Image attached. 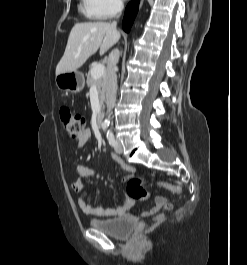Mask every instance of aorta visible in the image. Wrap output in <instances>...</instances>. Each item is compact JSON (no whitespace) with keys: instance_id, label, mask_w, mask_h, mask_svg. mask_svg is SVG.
I'll list each match as a JSON object with an SVG mask.
<instances>
[{"instance_id":"obj_1","label":"aorta","mask_w":247,"mask_h":265,"mask_svg":"<svg viewBox=\"0 0 247 265\" xmlns=\"http://www.w3.org/2000/svg\"><path fill=\"white\" fill-rule=\"evenodd\" d=\"M109 122H110L109 118L105 119L106 124H109Z\"/></svg>"}]
</instances>
